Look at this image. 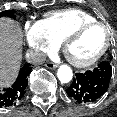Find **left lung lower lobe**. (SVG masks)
Instances as JSON below:
<instances>
[{
	"label": "left lung lower lobe",
	"mask_w": 117,
	"mask_h": 117,
	"mask_svg": "<svg viewBox=\"0 0 117 117\" xmlns=\"http://www.w3.org/2000/svg\"><path fill=\"white\" fill-rule=\"evenodd\" d=\"M112 76L109 62H101L96 68L77 73L66 92L78 103H90L99 99L108 89Z\"/></svg>",
	"instance_id": "0a47b994"
}]
</instances>
